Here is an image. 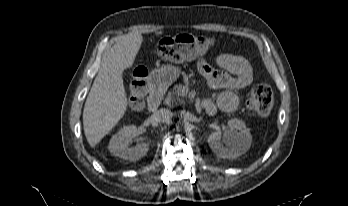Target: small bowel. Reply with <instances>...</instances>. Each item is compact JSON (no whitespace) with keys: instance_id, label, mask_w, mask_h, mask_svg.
Segmentation results:
<instances>
[{"instance_id":"1","label":"small bowel","mask_w":348,"mask_h":206,"mask_svg":"<svg viewBox=\"0 0 348 206\" xmlns=\"http://www.w3.org/2000/svg\"><path fill=\"white\" fill-rule=\"evenodd\" d=\"M216 65L217 68H213L205 60H201L198 69L211 88L223 89L217 98V106L223 111L231 112L240 103V97L235 90L252 82V67L244 57L233 54L219 55ZM202 107L207 115L215 113L216 104L211 99H204Z\"/></svg>"}]
</instances>
